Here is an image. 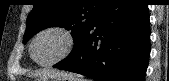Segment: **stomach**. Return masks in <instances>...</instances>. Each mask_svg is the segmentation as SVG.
<instances>
[{
  "label": "stomach",
  "instance_id": "stomach-1",
  "mask_svg": "<svg viewBox=\"0 0 169 81\" xmlns=\"http://www.w3.org/2000/svg\"><path fill=\"white\" fill-rule=\"evenodd\" d=\"M35 81H76L73 78H66L60 75H50L46 77H38Z\"/></svg>",
  "mask_w": 169,
  "mask_h": 81
}]
</instances>
